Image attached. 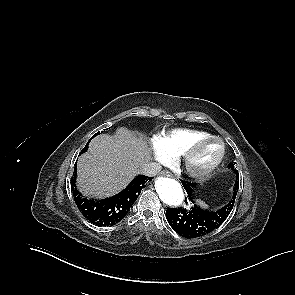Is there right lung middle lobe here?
Segmentation results:
<instances>
[{
	"label": "right lung middle lobe",
	"instance_id": "right-lung-middle-lobe-1",
	"mask_svg": "<svg viewBox=\"0 0 295 295\" xmlns=\"http://www.w3.org/2000/svg\"><path fill=\"white\" fill-rule=\"evenodd\" d=\"M99 133H100V132L96 133L93 137H95V136L98 135ZM93 137H92V138H93ZM92 138H91V139H92ZM88 143H89V142H88ZM88 143H87V144H88ZM84 149H85V148H84Z\"/></svg>",
	"mask_w": 295,
	"mask_h": 295
}]
</instances>
